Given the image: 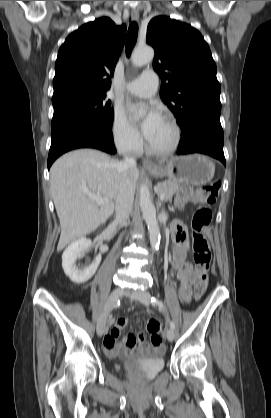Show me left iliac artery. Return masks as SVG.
Here are the masks:
<instances>
[{"mask_svg":"<svg viewBox=\"0 0 271 418\" xmlns=\"http://www.w3.org/2000/svg\"><path fill=\"white\" fill-rule=\"evenodd\" d=\"M151 303L153 304V305H157L159 308H161V309H165V305H164V303L161 301V300H159V299H157V298H155V297H151ZM170 327H171V329H175V324H174V322L173 321H170Z\"/></svg>","mask_w":271,"mask_h":418,"instance_id":"left-iliac-artery-1","label":"left iliac artery"}]
</instances>
